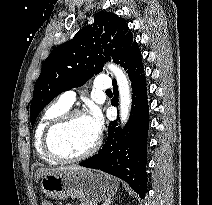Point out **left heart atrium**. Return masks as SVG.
I'll return each instance as SVG.
<instances>
[{"label": "left heart atrium", "mask_w": 212, "mask_h": 205, "mask_svg": "<svg viewBox=\"0 0 212 205\" xmlns=\"http://www.w3.org/2000/svg\"><path fill=\"white\" fill-rule=\"evenodd\" d=\"M85 117L92 131L95 133L96 136H99L103 127L101 114L97 110H92Z\"/></svg>", "instance_id": "39dd6f15"}]
</instances>
